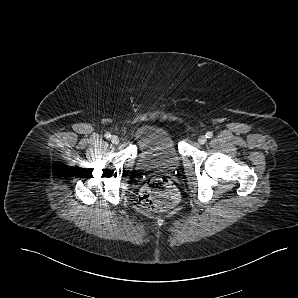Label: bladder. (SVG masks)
I'll return each mask as SVG.
<instances>
[{"instance_id":"1","label":"bladder","mask_w":298,"mask_h":298,"mask_svg":"<svg viewBox=\"0 0 298 298\" xmlns=\"http://www.w3.org/2000/svg\"><path fill=\"white\" fill-rule=\"evenodd\" d=\"M134 136L139 166L171 173L180 165V154L171 135L163 128L152 124L136 127Z\"/></svg>"}]
</instances>
